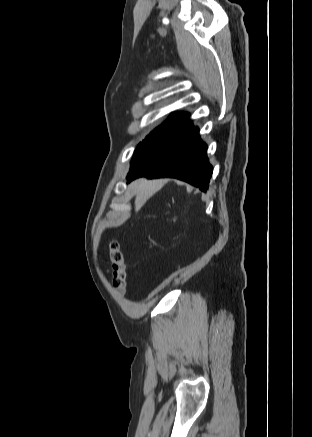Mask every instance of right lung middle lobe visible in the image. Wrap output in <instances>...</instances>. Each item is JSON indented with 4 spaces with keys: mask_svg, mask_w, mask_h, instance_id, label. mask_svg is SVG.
<instances>
[{
    "mask_svg": "<svg viewBox=\"0 0 312 437\" xmlns=\"http://www.w3.org/2000/svg\"><path fill=\"white\" fill-rule=\"evenodd\" d=\"M187 113H173L158 128L152 131L138 146L136 153L157 149L176 140L193 125Z\"/></svg>",
    "mask_w": 312,
    "mask_h": 437,
    "instance_id": "dd1d6c3e",
    "label": "right lung middle lobe"
}]
</instances>
